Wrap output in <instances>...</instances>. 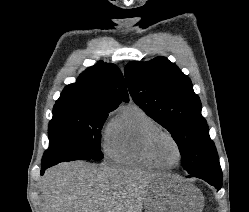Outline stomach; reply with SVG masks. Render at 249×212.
Wrapping results in <instances>:
<instances>
[{
	"mask_svg": "<svg viewBox=\"0 0 249 212\" xmlns=\"http://www.w3.org/2000/svg\"><path fill=\"white\" fill-rule=\"evenodd\" d=\"M146 212H202L200 190L180 180V175H155L147 188Z\"/></svg>",
	"mask_w": 249,
	"mask_h": 212,
	"instance_id": "stomach-1",
	"label": "stomach"
}]
</instances>
